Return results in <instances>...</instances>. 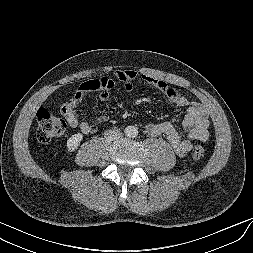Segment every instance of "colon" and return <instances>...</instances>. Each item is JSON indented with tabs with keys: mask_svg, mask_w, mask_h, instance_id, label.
Masks as SVG:
<instances>
[{
	"mask_svg": "<svg viewBox=\"0 0 253 253\" xmlns=\"http://www.w3.org/2000/svg\"><path fill=\"white\" fill-rule=\"evenodd\" d=\"M37 140L46 144L62 136L67 130V123L60 117L54 115L46 108H40L37 111ZM205 150L201 146L193 149L192 156L199 160L204 156Z\"/></svg>",
	"mask_w": 253,
	"mask_h": 253,
	"instance_id": "1",
	"label": "colon"
}]
</instances>
